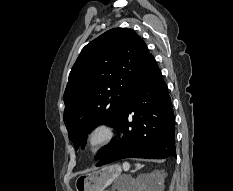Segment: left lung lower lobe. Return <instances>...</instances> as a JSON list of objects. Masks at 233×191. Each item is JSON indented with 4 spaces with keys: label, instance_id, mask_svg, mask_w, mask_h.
I'll list each match as a JSON object with an SVG mask.
<instances>
[{
    "label": "left lung lower lobe",
    "instance_id": "obj_1",
    "mask_svg": "<svg viewBox=\"0 0 233 191\" xmlns=\"http://www.w3.org/2000/svg\"><path fill=\"white\" fill-rule=\"evenodd\" d=\"M119 117L121 136L106 146L97 166L130 157H176L171 98L152 54L136 75Z\"/></svg>",
    "mask_w": 233,
    "mask_h": 191
}]
</instances>
